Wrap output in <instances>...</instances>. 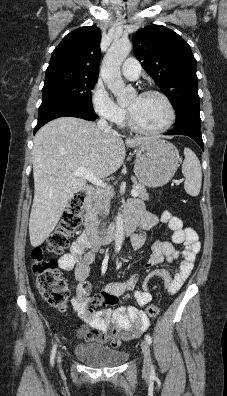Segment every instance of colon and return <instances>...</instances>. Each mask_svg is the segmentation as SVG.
I'll return each mask as SVG.
<instances>
[{
	"instance_id": "obj_1",
	"label": "colon",
	"mask_w": 227,
	"mask_h": 396,
	"mask_svg": "<svg viewBox=\"0 0 227 396\" xmlns=\"http://www.w3.org/2000/svg\"><path fill=\"white\" fill-rule=\"evenodd\" d=\"M83 205L82 196L77 195L72 198L62 215L61 221L47 240L49 252L58 255L67 249L71 236L82 223ZM32 257L37 289L50 306L61 311L65 310L69 298V289L58 270L57 262L45 258L40 247L33 250ZM145 311L148 316L154 317L158 314L159 309L155 304H149Z\"/></svg>"
}]
</instances>
